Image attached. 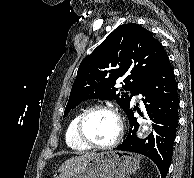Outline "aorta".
Listing matches in <instances>:
<instances>
[{
  "instance_id": "obj_1",
  "label": "aorta",
  "mask_w": 194,
  "mask_h": 178,
  "mask_svg": "<svg viewBox=\"0 0 194 178\" xmlns=\"http://www.w3.org/2000/svg\"><path fill=\"white\" fill-rule=\"evenodd\" d=\"M146 130H148V127L147 126H143L142 128V132H139V135H142L143 132H145Z\"/></svg>"
}]
</instances>
